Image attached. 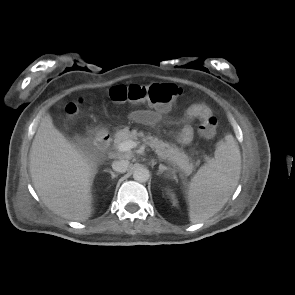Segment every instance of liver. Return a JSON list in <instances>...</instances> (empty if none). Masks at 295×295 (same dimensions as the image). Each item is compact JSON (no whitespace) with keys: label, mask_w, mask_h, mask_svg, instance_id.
Instances as JSON below:
<instances>
[{"label":"liver","mask_w":295,"mask_h":295,"mask_svg":"<svg viewBox=\"0 0 295 295\" xmlns=\"http://www.w3.org/2000/svg\"><path fill=\"white\" fill-rule=\"evenodd\" d=\"M29 159L33 186L52 212L73 221L92 215V186L99 162L67 140L48 114L40 121Z\"/></svg>","instance_id":"obj_1"}]
</instances>
